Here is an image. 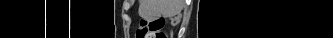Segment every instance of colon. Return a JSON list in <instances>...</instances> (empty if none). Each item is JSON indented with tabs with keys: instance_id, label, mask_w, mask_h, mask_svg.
I'll list each match as a JSON object with an SVG mask.
<instances>
[{
	"instance_id": "obj_1",
	"label": "colon",
	"mask_w": 333,
	"mask_h": 38,
	"mask_svg": "<svg viewBox=\"0 0 333 38\" xmlns=\"http://www.w3.org/2000/svg\"><path fill=\"white\" fill-rule=\"evenodd\" d=\"M165 19L162 17L150 20L141 19L136 32L137 38H166L163 32Z\"/></svg>"
}]
</instances>
